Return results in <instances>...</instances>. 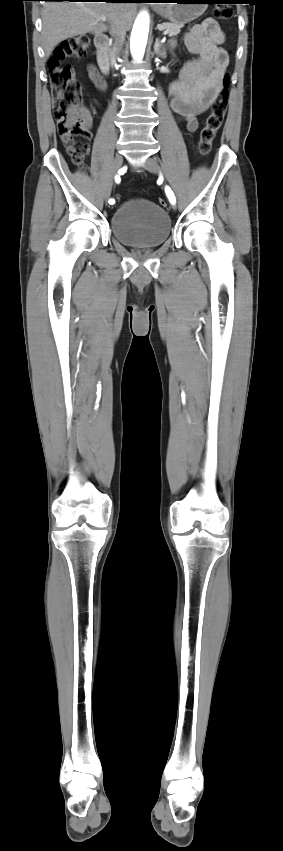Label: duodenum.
<instances>
[{
    "label": "duodenum",
    "mask_w": 283,
    "mask_h": 851,
    "mask_svg": "<svg viewBox=\"0 0 283 851\" xmlns=\"http://www.w3.org/2000/svg\"><path fill=\"white\" fill-rule=\"evenodd\" d=\"M95 47H96V56L97 61L100 66V69L103 74L109 73V59H108V49H109V38L106 35H98L95 38Z\"/></svg>",
    "instance_id": "1"
}]
</instances>
